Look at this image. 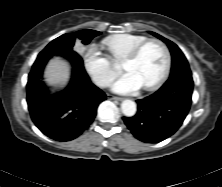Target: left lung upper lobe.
<instances>
[{
	"instance_id": "left-lung-upper-lobe-1",
	"label": "left lung upper lobe",
	"mask_w": 222,
	"mask_h": 187,
	"mask_svg": "<svg viewBox=\"0 0 222 187\" xmlns=\"http://www.w3.org/2000/svg\"><path fill=\"white\" fill-rule=\"evenodd\" d=\"M151 33L157 38L164 41L170 49L172 55V68H171L170 78L175 77L182 72H191L187 59L185 58L184 54L176 44L154 32Z\"/></svg>"
}]
</instances>
